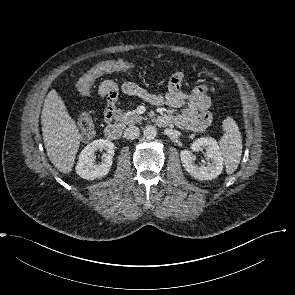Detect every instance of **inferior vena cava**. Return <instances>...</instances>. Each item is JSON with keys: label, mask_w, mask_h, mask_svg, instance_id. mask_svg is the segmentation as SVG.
<instances>
[{"label": "inferior vena cava", "mask_w": 295, "mask_h": 295, "mask_svg": "<svg viewBox=\"0 0 295 295\" xmlns=\"http://www.w3.org/2000/svg\"><path fill=\"white\" fill-rule=\"evenodd\" d=\"M140 135V129L136 126H129L125 131H124V137L128 140H133L138 138Z\"/></svg>", "instance_id": "1"}]
</instances>
